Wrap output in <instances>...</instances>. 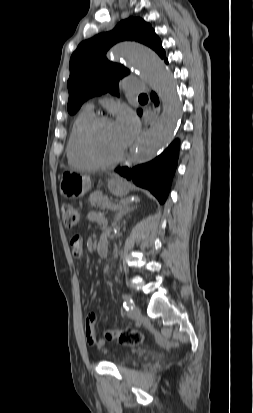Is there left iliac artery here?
<instances>
[{
	"label": "left iliac artery",
	"mask_w": 253,
	"mask_h": 413,
	"mask_svg": "<svg viewBox=\"0 0 253 413\" xmlns=\"http://www.w3.org/2000/svg\"><path fill=\"white\" fill-rule=\"evenodd\" d=\"M123 299H124L123 300V307L126 310H129L130 308H132V306L134 305V302H133L132 298L128 295H124Z\"/></svg>",
	"instance_id": "left-iliac-artery-1"
}]
</instances>
